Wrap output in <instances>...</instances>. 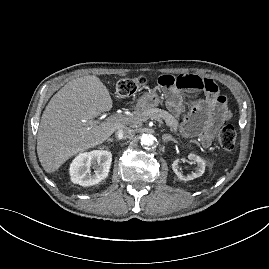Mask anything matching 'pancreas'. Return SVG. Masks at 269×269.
<instances>
[{"mask_svg":"<svg viewBox=\"0 0 269 269\" xmlns=\"http://www.w3.org/2000/svg\"><path fill=\"white\" fill-rule=\"evenodd\" d=\"M149 118L156 119L160 123L164 121L166 125L170 127V130L174 134L176 135L178 134L177 131H178L179 122L174 116H172L167 111H164L158 108H152V109L144 110L143 112L138 113L135 117L137 123L146 121Z\"/></svg>","mask_w":269,"mask_h":269,"instance_id":"obj_1","label":"pancreas"}]
</instances>
